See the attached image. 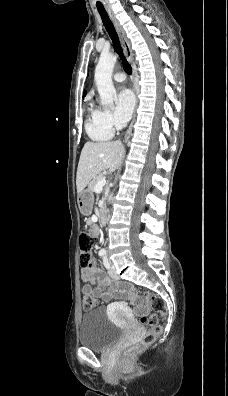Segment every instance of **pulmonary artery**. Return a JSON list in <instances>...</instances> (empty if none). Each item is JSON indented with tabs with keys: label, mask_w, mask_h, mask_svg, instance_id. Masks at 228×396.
Here are the masks:
<instances>
[{
	"label": "pulmonary artery",
	"mask_w": 228,
	"mask_h": 396,
	"mask_svg": "<svg viewBox=\"0 0 228 396\" xmlns=\"http://www.w3.org/2000/svg\"><path fill=\"white\" fill-rule=\"evenodd\" d=\"M113 79L116 82H123L126 79V76L124 73L119 72V73L114 74Z\"/></svg>",
	"instance_id": "1"
}]
</instances>
